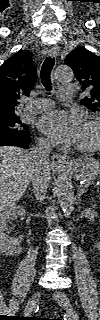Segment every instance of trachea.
<instances>
[{
  "instance_id": "trachea-1",
  "label": "trachea",
  "mask_w": 100,
  "mask_h": 320,
  "mask_svg": "<svg viewBox=\"0 0 100 320\" xmlns=\"http://www.w3.org/2000/svg\"><path fill=\"white\" fill-rule=\"evenodd\" d=\"M55 64V59L52 57H47L42 65L41 72H40V78L43 86L47 91H51V80H50V75L52 68Z\"/></svg>"
}]
</instances>
